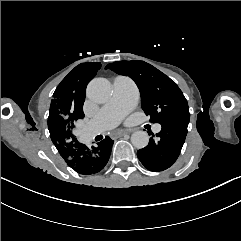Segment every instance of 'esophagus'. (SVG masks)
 <instances>
[{
  "instance_id": "1",
  "label": "esophagus",
  "mask_w": 241,
  "mask_h": 241,
  "mask_svg": "<svg viewBox=\"0 0 241 241\" xmlns=\"http://www.w3.org/2000/svg\"><path fill=\"white\" fill-rule=\"evenodd\" d=\"M128 132L126 130H120L118 132L111 133L112 138H118L121 135L127 134Z\"/></svg>"
}]
</instances>
